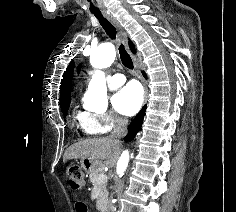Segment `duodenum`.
Segmentation results:
<instances>
[{"label":"duodenum","instance_id":"obj_1","mask_svg":"<svg viewBox=\"0 0 236 212\" xmlns=\"http://www.w3.org/2000/svg\"><path fill=\"white\" fill-rule=\"evenodd\" d=\"M103 212H109L107 208L102 209Z\"/></svg>","mask_w":236,"mask_h":212}]
</instances>
